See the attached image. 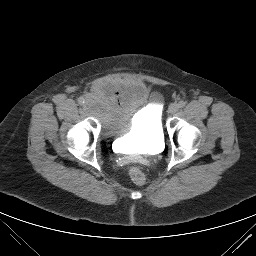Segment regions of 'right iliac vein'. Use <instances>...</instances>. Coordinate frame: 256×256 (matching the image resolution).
Wrapping results in <instances>:
<instances>
[{"label": "right iliac vein", "instance_id": "1", "mask_svg": "<svg viewBox=\"0 0 256 256\" xmlns=\"http://www.w3.org/2000/svg\"><path fill=\"white\" fill-rule=\"evenodd\" d=\"M92 105V102L90 101V100H87L86 102H85V106L86 107H90Z\"/></svg>", "mask_w": 256, "mask_h": 256}]
</instances>
